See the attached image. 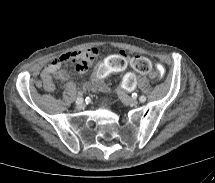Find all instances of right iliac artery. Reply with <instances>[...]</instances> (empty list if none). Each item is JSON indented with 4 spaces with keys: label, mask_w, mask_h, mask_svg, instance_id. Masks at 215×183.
<instances>
[{
    "label": "right iliac artery",
    "mask_w": 215,
    "mask_h": 183,
    "mask_svg": "<svg viewBox=\"0 0 215 183\" xmlns=\"http://www.w3.org/2000/svg\"><path fill=\"white\" fill-rule=\"evenodd\" d=\"M81 102H83V98L82 97H78L76 99V104H80Z\"/></svg>",
    "instance_id": "right-iliac-artery-1"
}]
</instances>
